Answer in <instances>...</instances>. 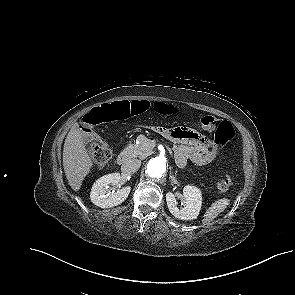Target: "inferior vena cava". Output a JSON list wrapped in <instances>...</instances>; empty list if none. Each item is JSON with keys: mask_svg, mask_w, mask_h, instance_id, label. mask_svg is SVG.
<instances>
[{"mask_svg": "<svg viewBox=\"0 0 295 295\" xmlns=\"http://www.w3.org/2000/svg\"><path fill=\"white\" fill-rule=\"evenodd\" d=\"M141 166V161L138 159H129L122 164L121 170L123 173L132 174L136 172Z\"/></svg>", "mask_w": 295, "mask_h": 295, "instance_id": "602c4592", "label": "inferior vena cava"}]
</instances>
